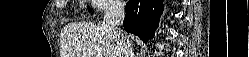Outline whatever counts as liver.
Returning <instances> with one entry per match:
<instances>
[{
  "label": "liver",
  "instance_id": "liver-1",
  "mask_svg": "<svg viewBox=\"0 0 249 57\" xmlns=\"http://www.w3.org/2000/svg\"><path fill=\"white\" fill-rule=\"evenodd\" d=\"M61 40L62 57H122L118 40L100 23L68 24Z\"/></svg>",
  "mask_w": 249,
  "mask_h": 57
}]
</instances>
